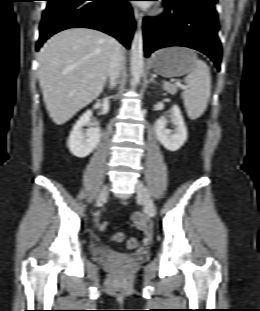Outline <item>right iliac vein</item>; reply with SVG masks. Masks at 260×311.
I'll list each match as a JSON object with an SVG mask.
<instances>
[{
    "label": "right iliac vein",
    "instance_id": "63e3f726",
    "mask_svg": "<svg viewBox=\"0 0 260 311\" xmlns=\"http://www.w3.org/2000/svg\"><path fill=\"white\" fill-rule=\"evenodd\" d=\"M107 195H108V187L104 186L98 195L97 204H100L101 201H103L107 197Z\"/></svg>",
    "mask_w": 260,
    "mask_h": 311
}]
</instances>
